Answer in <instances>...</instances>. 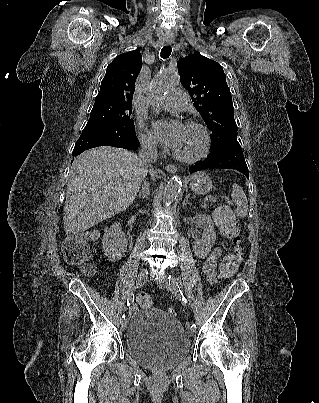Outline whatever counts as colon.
Instances as JSON below:
<instances>
[{"mask_svg":"<svg viewBox=\"0 0 319 403\" xmlns=\"http://www.w3.org/2000/svg\"><path fill=\"white\" fill-rule=\"evenodd\" d=\"M216 214L222 235L233 244V249L221 261L220 273L223 276L233 275L242 261L240 228L228 208L219 207ZM91 237L92 235L87 232H79L67 237L62 244L65 262L80 268L87 276L95 274V266L90 260L89 240ZM136 301L142 309L150 308L152 305L151 298L145 293L139 294ZM171 312L176 313L173 309Z\"/></svg>","mask_w":319,"mask_h":403,"instance_id":"colon-1","label":"colon"}]
</instances>
